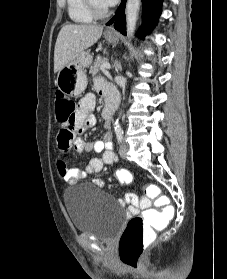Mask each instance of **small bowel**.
Masks as SVG:
<instances>
[{
	"label": "small bowel",
	"instance_id": "c3829d8e",
	"mask_svg": "<svg viewBox=\"0 0 227 279\" xmlns=\"http://www.w3.org/2000/svg\"><path fill=\"white\" fill-rule=\"evenodd\" d=\"M97 90L102 93L107 100L118 101V96L115 89L112 86L104 84L98 80L96 82ZM97 100L96 96L92 93L84 95L78 105V111L75 115V124L77 126L76 131L79 132L81 129L86 127H92L96 123V117L93 112L96 109ZM69 135L62 132L60 129L59 133V148L62 151H68L73 147L77 152L93 151L101 153V158H92L84 169L77 167H70L63 161L58 162V172L63 180L68 184H74L78 181L87 179L94 173H103L106 168L115 163L117 157L111 150L112 142L111 135L106 132L103 138L99 141H83L80 138L69 139ZM100 184V181H97ZM125 202H129V212L134 213L140 210L150 207L151 202L146 197H138L134 193H128L125 198Z\"/></svg>",
	"mask_w": 227,
	"mask_h": 279
}]
</instances>
